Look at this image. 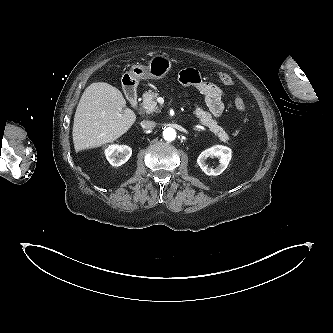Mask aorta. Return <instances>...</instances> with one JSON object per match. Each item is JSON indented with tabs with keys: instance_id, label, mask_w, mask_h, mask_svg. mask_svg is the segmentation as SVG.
Segmentation results:
<instances>
[{
	"instance_id": "obj_1",
	"label": "aorta",
	"mask_w": 333,
	"mask_h": 333,
	"mask_svg": "<svg viewBox=\"0 0 333 333\" xmlns=\"http://www.w3.org/2000/svg\"><path fill=\"white\" fill-rule=\"evenodd\" d=\"M163 137L167 141H173L176 138V131L173 128H166L163 131Z\"/></svg>"
}]
</instances>
